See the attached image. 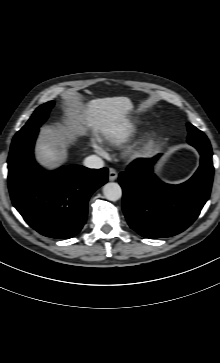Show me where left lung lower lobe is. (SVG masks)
<instances>
[{
    "mask_svg": "<svg viewBox=\"0 0 220 363\" xmlns=\"http://www.w3.org/2000/svg\"><path fill=\"white\" fill-rule=\"evenodd\" d=\"M188 143L199 151L201 162L193 177L182 184H165L155 177L153 166L160 155L138 159L119 175L126 219L143 237L179 234L195 221L209 198L214 171L211 145Z\"/></svg>",
    "mask_w": 220,
    "mask_h": 363,
    "instance_id": "0a47b994",
    "label": "left lung lower lobe"
}]
</instances>
